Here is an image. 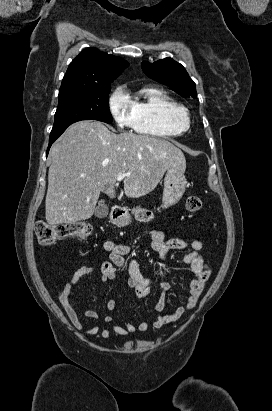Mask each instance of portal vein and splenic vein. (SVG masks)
<instances>
[{
	"instance_id": "1",
	"label": "portal vein and splenic vein",
	"mask_w": 272,
	"mask_h": 411,
	"mask_svg": "<svg viewBox=\"0 0 272 411\" xmlns=\"http://www.w3.org/2000/svg\"><path fill=\"white\" fill-rule=\"evenodd\" d=\"M126 176H128L127 173L119 174V175L116 177V180H117V181H121V180H123Z\"/></svg>"
}]
</instances>
